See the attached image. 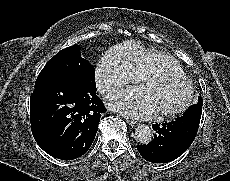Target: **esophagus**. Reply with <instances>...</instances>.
Returning <instances> with one entry per match:
<instances>
[{"mask_svg":"<svg viewBox=\"0 0 230 181\" xmlns=\"http://www.w3.org/2000/svg\"><path fill=\"white\" fill-rule=\"evenodd\" d=\"M125 119H126V122H127L130 126H135V125H137V122H136V121H134V120H132V119H130V118H127V117H125Z\"/></svg>","mask_w":230,"mask_h":181,"instance_id":"obj_1","label":"esophagus"}]
</instances>
